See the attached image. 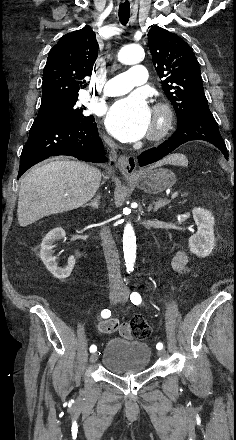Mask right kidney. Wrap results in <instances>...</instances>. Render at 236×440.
<instances>
[{
  "instance_id": "right-kidney-1",
  "label": "right kidney",
  "mask_w": 236,
  "mask_h": 440,
  "mask_svg": "<svg viewBox=\"0 0 236 440\" xmlns=\"http://www.w3.org/2000/svg\"><path fill=\"white\" fill-rule=\"evenodd\" d=\"M65 237V231L62 228L51 230L42 240L40 258L45 264L48 271L57 279H65L70 276L74 265L75 258L70 256L68 264L65 267H58L57 258L53 255V244L56 240Z\"/></svg>"
}]
</instances>
